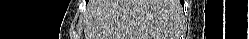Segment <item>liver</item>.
I'll use <instances>...</instances> for the list:
<instances>
[{"mask_svg":"<svg viewBox=\"0 0 249 39\" xmlns=\"http://www.w3.org/2000/svg\"><path fill=\"white\" fill-rule=\"evenodd\" d=\"M172 0H98L90 4L86 39H166Z\"/></svg>","mask_w":249,"mask_h":39,"instance_id":"obj_1","label":"liver"}]
</instances>
